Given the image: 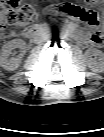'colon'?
<instances>
[{"label": "colon", "instance_id": "obj_1", "mask_svg": "<svg viewBox=\"0 0 104 137\" xmlns=\"http://www.w3.org/2000/svg\"><path fill=\"white\" fill-rule=\"evenodd\" d=\"M83 6H65L62 10L70 15H74L93 26L99 25L98 7L102 0H83ZM2 16L7 26L21 28L29 25L35 15L34 7L23 0H2ZM101 31L96 30L92 34V41L95 44L102 42Z\"/></svg>", "mask_w": 104, "mask_h": 137}]
</instances>
